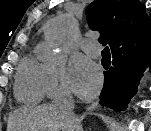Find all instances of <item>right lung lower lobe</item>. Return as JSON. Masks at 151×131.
Segmentation results:
<instances>
[{
	"label": "right lung lower lobe",
	"instance_id": "1",
	"mask_svg": "<svg viewBox=\"0 0 151 131\" xmlns=\"http://www.w3.org/2000/svg\"><path fill=\"white\" fill-rule=\"evenodd\" d=\"M141 55L130 48L112 54L113 67L104 74V86L100 96L103 106L114 111L125 110L135 95L145 70L148 66L151 70V54Z\"/></svg>",
	"mask_w": 151,
	"mask_h": 131
}]
</instances>
